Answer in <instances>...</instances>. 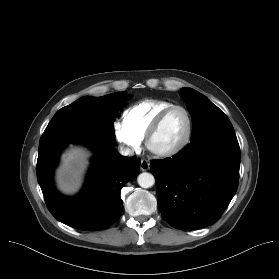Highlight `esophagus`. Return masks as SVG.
I'll return each mask as SVG.
<instances>
[{"mask_svg": "<svg viewBox=\"0 0 279 279\" xmlns=\"http://www.w3.org/2000/svg\"><path fill=\"white\" fill-rule=\"evenodd\" d=\"M149 168H150V163H149V161L146 160V159H142V160H141V163H140V169H141L142 171H147V170H149Z\"/></svg>", "mask_w": 279, "mask_h": 279, "instance_id": "obj_1", "label": "esophagus"}]
</instances>
